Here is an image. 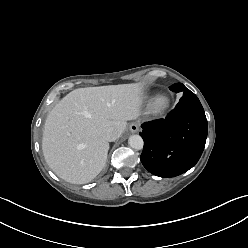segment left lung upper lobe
Masks as SVG:
<instances>
[{
    "mask_svg": "<svg viewBox=\"0 0 248 248\" xmlns=\"http://www.w3.org/2000/svg\"><path fill=\"white\" fill-rule=\"evenodd\" d=\"M170 89H171L172 91L176 92V93H179V92L183 93V92H185V91H190L189 89H187V88H186L183 84H181V83H176V84L172 85V86L170 87Z\"/></svg>",
    "mask_w": 248,
    "mask_h": 248,
    "instance_id": "left-lung-upper-lobe-1",
    "label": "left lung upper lobe"
}]
</instances>
